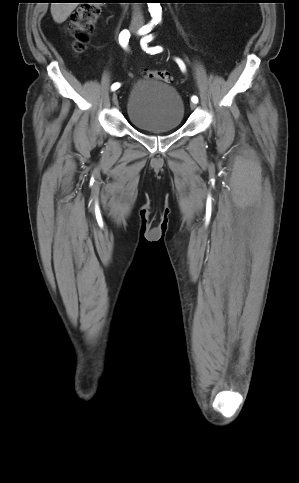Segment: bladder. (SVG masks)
<instances>
[{
    "mask_svg": "<svg viewBox=\"0 0 299 483\" xmlns=\"http://www.w3.org/2000/svg\"><path fill=\"white\" fill-rule=\"evenodd\" d=\"M126 113L130 123L139 130L174 131L183 121L184 103L174 87L152 79L131 88Z\"/></svg>",
    "mask_w": 299,
    "mask_h": 483,
    "instance_id": "31cf9c89",
    "label": "bladder"
}]
</instances>
